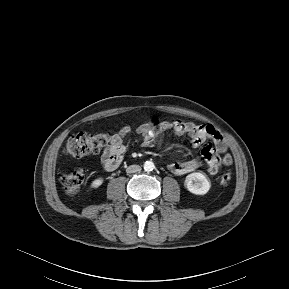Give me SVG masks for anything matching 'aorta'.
Listing matches in <instances>:
<instances>
[{"instance_id": "1", "label": "aorta", "mask_w": 289, "mask_h": 289, "mask_svg": "<svg viewBox=\"0 0 289 289\" xmlns=\"http://www.w3.org/2000/svg\"><path fill=\"white\" fill-rule=\"evenodd\" d=\"M143 167L145 171H152L154 169V163L152 161H145Z\"/></svg>"}]
</instances>
